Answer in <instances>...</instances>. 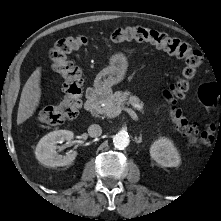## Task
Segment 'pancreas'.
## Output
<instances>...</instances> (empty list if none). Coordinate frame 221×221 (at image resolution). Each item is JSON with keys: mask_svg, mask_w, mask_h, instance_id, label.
Here are the masks:
<instances>
[{"mask_svg": "<svg viewBox=\"0 0 221 221\" xmlns=\"http://www.w3.org/2000/svg\"><path fill=\"white\" fill-rule=\"evenodd\" d=\"M101 103H103L104 106L101 104L96 105L92 110L93 115H106L110 110L122 107L124 104H131L138 109H141L144 105L137 96H133L129 91H116L115 93H111Z\"/></svg>", "mask_w": 221, "mask_h": 221, "instance_id": "1", "label": "pancreas"}]
</instances>
